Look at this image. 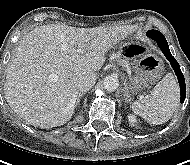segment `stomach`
<instances>
[{"label":"stomach","instance_id":"0dacf381","mask_svg":"<svg viewBox=\"0 0 190 165\" xmlns=\"http://www.w3.org/2000/svg\"><path fill=\"white\" fill-rule=\"evenodd\" d=\"M118 55L129 62V69L134 74L132 85L137 91L149 88L162 74V60L149 50V44L142 36L122 37L118 42Z\"/></svg>","mask_w":190,"mask_h":165}]
</instances>
